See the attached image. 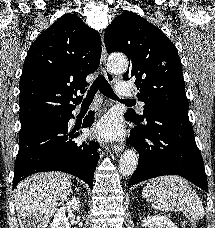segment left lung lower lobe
<instances>
[{
  "label": "left lung lower lobe",
  "instance_id": "0a47b994",
  "mask_svg": "<svg viewBox=\"0 0 215 228\" xmlns=\"http://www.w3.org/2000/svg\"><path fill=\"white\" fill-rule=\"evenodd\" d=\"M128 143L139 152V163L128 185L163 175H179L208 192L188 110L150 111L144 122L131 129Z\"/></svg>",
  "mask_w": 215,
  "mask_h": 228
}]
</instances>
